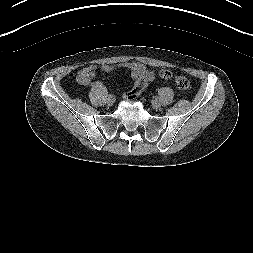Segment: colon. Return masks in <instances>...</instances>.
I'll use <instances>...</instances> for the list:
<instances>
[{
  "instance_id": "1",
  "label": "colon",
  "mask_w": 253,
  "mask_h": 253,
  "mask_svg": "<svg viewBox=\"0 0 253 253\" xmlns=\"http://www.w3.org/2000/svg\"><path fill=\"white\" fill-rule=\"evenodd\" d=\"M160 76L164 79H174L176 85L181 90H187L190 88V81L184 76L174 75L169 70H162ZM146 86V82L141 78L135 79V87L128 91L125 96L128 100H135L140 96Z\"/></svg>"
}]
</instances>
